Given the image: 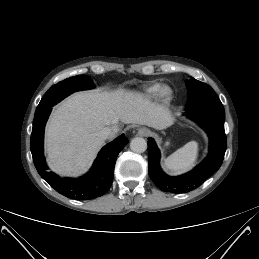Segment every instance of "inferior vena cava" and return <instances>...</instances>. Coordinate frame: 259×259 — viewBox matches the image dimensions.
Returning a JSON list of instances; mask_svg holds the SVG:
<instances>
[{
    "instance_id": "obj_1",
    "label": "inferior vena cava",
    "mask_w": 259,
    "mask_h": 259,
    "mask_svg": "<svg viewBox=\"0 0 259 259\" xmlns=\"http://www.w3.org/2000/svg\"><path fill=\"white\" fill-rule=\"evenodd\" d=\"M111 134H112L111 128L105 127L97 133V136L103 140H106L111 136Z\"/></svg>"
}]
</instances>
